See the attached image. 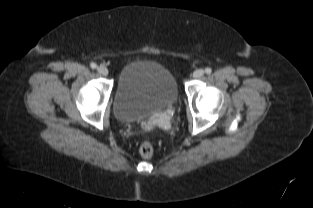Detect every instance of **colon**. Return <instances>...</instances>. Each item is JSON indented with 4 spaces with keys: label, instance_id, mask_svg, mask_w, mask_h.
<instances>
[{
    "label": "colon",
    "instance_id": "5ec220e1",
    "mask_svg": "<svg viewBox=\"0 0 313 208\" xmlns=\"http://www.w3.org/2000/svg\"><path fill=\"white\" fill-rule=\"evenodd\" d=\"M139 153L143 158H151L154 153V147L149 141H145L140 145Z\"/></svg>",
    "mask_w": 313,
    "mask_h": 208
}]
</instances>
